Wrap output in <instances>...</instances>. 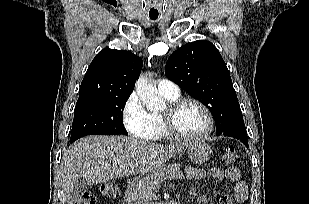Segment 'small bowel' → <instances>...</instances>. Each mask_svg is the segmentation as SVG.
<instances>
[{
  "mask_svg": "<svg viewBox=\"0 0 309 204\" xmlns=\"http://www.w3.org/2000/svg\"><path fill=\"white\" fill-rule=\"evenodd\" d=\"M188 175L190 179H198L207 176L214 179L228 180L233 182V196H222L220 199V204H243L248 197L247 184L242 180L241 171L237 167H228L226 169L215 167L207 171L198 168H189Z\"/></svg>",
  "mask_w": 309,
  "mask_h": 204,
  "instance_id": "c3829d8e",
  "label": "small bowel"
}]
</instances>
